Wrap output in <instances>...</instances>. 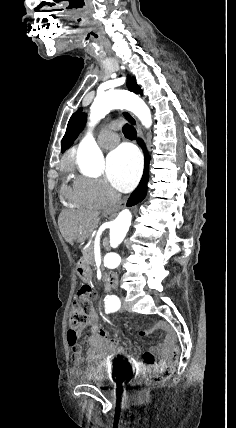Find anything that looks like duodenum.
Wrapping results in <instances>:
<instances>
[{"label":"duodenum","mask_w":236,"mask_h":428,"mask_svg":"<svg viewBox=\"0 0 236 428\" xmlns=\"http://www.w3.org/2000/svg\"><path fill=\"white\" fill-rule=\"evenodd\" d=\"M81 263V262H80ZM117 276L114 273H108L105 277L104 289L109 294L116 288Z\"/></svg>","instance_id":"1"}]
</instances>
